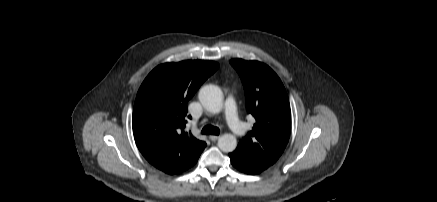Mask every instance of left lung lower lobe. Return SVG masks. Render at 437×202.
Masks as SVG:
<instances>
[{
  "mask_svg": "<svg viewBox=\"0 0 437 202\" xmlns=\"http://www.w3.org/2000/svg\"><path fill=\"white\" fill-rule=\"evenodd\" d=\"M229 157L232 165L239 171L246 174H251V175L259 174L268 168V166L247 156L245 153L241 152L238 149L230 153Z\"/></svg>",
  "mask_w": 437,
  "mask_h": 202,
  "instance_id": "obj_1",
  "label": "left lung lower lobe"
}]
</instances>
